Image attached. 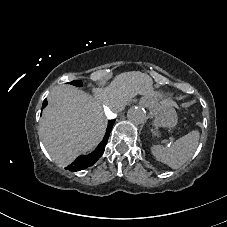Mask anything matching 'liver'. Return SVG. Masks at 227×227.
Instances as JSON below:
<instances>
[{
	"mask_svg": "<svg viewBox=\"0 0 227 227\" xmlns=\"http://www.w3.org/2000/svg\"><path fill=\"white\" fill-rule=\"evenodd\" d=\"M151 78L139 72L117 76L110 88L95 90L98 100L71 85H59L48 95L49 106L40 121L39 134L58 164L71 163L79 153L92 150L106 127L100 104L116 108L113 100L149 94Z\"/></svg>",
	"mask_w": 227,
	"mask_h": 227,
	"instance_id": "6515ba94",
	"label": "liver"
}]
</instances>
